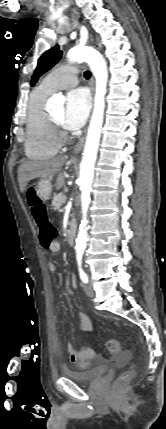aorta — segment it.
I'll return each mask as SVG.
<instances>
[{
  "label": "aorta",
  "instance_id": "aorta-1",
  "mask_svg": "<svg viewBox=\"0 0 166 429\" xmlns=\"http://www.w3.org/2000/svg\"><path fill=\"white\" fill-rule=\"evenodd\" d=\"M71 62L83 61L88 63L96 79V92L94 109L88 128L87 138L84 147L82 162L80 165L79 186L81 190L82 220L76 239L75 250L83 253L88 241L87 238V210L90 203V194L94 178V167L97 159V152L103 125V115L105 109V94L108 80L107 65L102 55L91 47L77 46L72 48L68 54ZM65 98L62 95H54L50 98L48 105L53 107L56 104H63Z\"/></svg>",
  "mask_w": 166,
  "mask_h": 429
}]
</instances>
